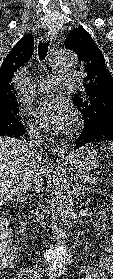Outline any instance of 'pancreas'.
Here are the masks:
<instances>
[{"mask_svg":"<svg viewBox=\"0 0 113 279\" xmlns=\"http://www.w3.org/2000/svg\"><path fill=\"white\" fill-rule=\"evenodd\" d=\"M77 175L84 183H89V184H94V185L99 184L98 183L99 177L94 176L93 174L80 172Z\"/></svg>","mask_w":113,"mask_h":279,"instance_id":"cf45deb5","label":"pancreas"}]
</instances>
